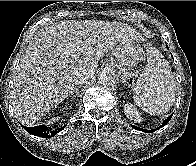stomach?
Listing matches in <instances>:
<instances>
[{
	"label": "stomach",
	"instance_id": "1",
	"mask_svg": "<svg viewBox=\"0 0 196 166\" xmlns=\"http://www.w3.org/2000/svg\"><path fill=\"white\" fill-rule=\"evenodd\" d=\"M143 50L135 41L127 40L116 46L115 56L122 71L132 70L142 60Z\"/></svg>",
	"mask_w": 196,
	"mask_h": 166
}]
</instances>
